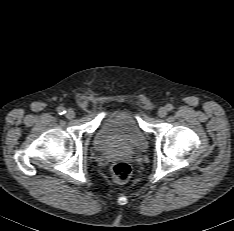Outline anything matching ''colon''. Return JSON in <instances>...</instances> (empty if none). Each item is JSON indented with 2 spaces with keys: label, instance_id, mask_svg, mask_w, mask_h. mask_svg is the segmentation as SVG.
<instances>
[{
  "label": "colon",
  "instance_id": "5ec220e1",
  "mask_svg": "<svg viewBox=\"0 0 234 231\" xmlns=\"http://www.w3.org/2000/svg\"><path fill=\"white\" fill-rule=\"evenodd\" d=\"M113 176L116 182L125 183L131 176V168L127 163H117L113 166Z\"/></svg>",
  "mask_w": 234,
  "mask_h": 231
}]
</instances>
